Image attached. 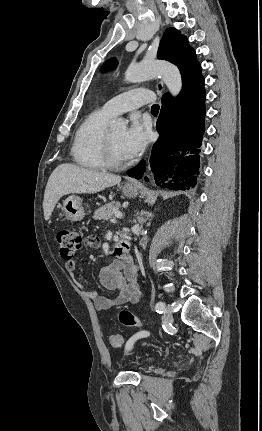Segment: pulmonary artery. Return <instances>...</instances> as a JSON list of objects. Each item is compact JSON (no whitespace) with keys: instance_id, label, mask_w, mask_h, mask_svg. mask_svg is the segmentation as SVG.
Segmentation results:
<instances>
[{"instance_id":"e3ab8cb5","label":"pulmonary artery","mask_w":262,"mask_h":431,"mask_svg":"<svg viewBox=\"0 0 262 431\" xmlns=\"http://www.w3.org/2000/svg\"><path fill=\"white\" fill-rule=\"evenodd\" d=\"M154 95L146 88L140 87L121 93L105 103L104 109L111 115L138 109L142 105L152 102Z\"/></svg>"}]
</instances>
